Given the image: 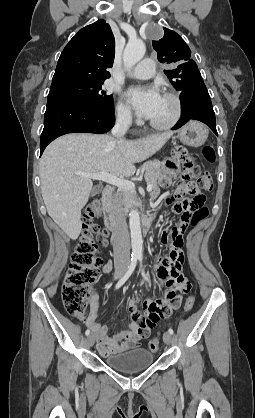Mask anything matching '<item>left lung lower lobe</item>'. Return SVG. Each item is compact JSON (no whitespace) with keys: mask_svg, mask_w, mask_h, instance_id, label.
<instances>
[{"mask_svg":"<svg viewBox=\"0 0 255 418\" xmlns=\"http://www.w3.org/2000/svg\"><path fill=\"white\" fill-rule=\"evenodd\" d=\"M181 118L172 130L178 129L189 120H199L208 125L217 134L215 113L207 88L203 83L186 89L180 94Z\"/></svg>","mask_w":255,"mask_h":418,"instance_id":"1","label":"left lung lower lobe"}]
</instances>
